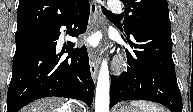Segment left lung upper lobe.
Returning a JSON list of instances; mask_svg holds the SVG:
<instances>
[{
  "label": "left lung upper lobe",
  "mask_w": 193,
  "mask_h": 112,
  "mask_svg": "<svg viewBox=\"0 0 193 112\" xmlns=\"http://www.w3.org/2000/svg\"><path fill=\"white\" fill-rule=\"evenodd\" d=\"M124 3V32L158 24L170 23L167 0H121Z\"/></svg>",
  "instance_id": "left-lung-upper-lobe-1"
}]
</instances>
